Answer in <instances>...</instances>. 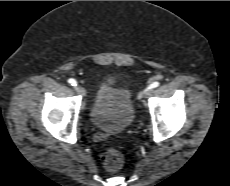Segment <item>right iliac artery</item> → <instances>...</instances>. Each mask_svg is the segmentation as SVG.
I'll list each match as a JSON object with an SVG mask.
<instances>
[{"mask_svg": "<svg viewBox=\"0 0 230 186\" xmlns=\"http://www.w3.org/2000/svg\"><path fill=\"white\" fill-rule=\"evenodd\" d=\"M68 83L71 84L72 86H77V82L74 79H69Z\"/></svg>", "mask_w": 230, "mask_h": 186, "instance_id": "1", "label": "right iliac artery"}]
</instances>
